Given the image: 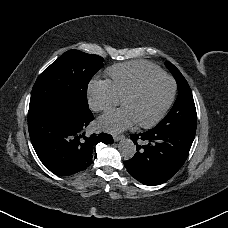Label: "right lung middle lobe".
I'll return each instance as SVG.
<instances>
[{"label":"right lung middle lobe","mask_w":228,"mask_h":228,"mask_svg":"<svg viewBox=\"0 0 228 228\" xmlns=\"http://www.w3.org/2000/svg\"><path fill=\"white\" fill-rule=\"evenodd\" d=\"M103 58L78 50L63 53L37 78L31 93L29 111L60 107L77 117L91 115L87 87L103 66Z\"/></svg>","instance_id":"1"}]
</instances>
